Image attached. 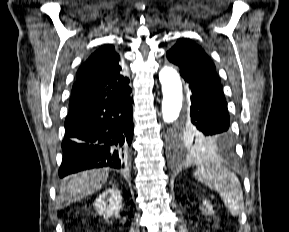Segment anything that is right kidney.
I'll list each match as a JSON object with an SVG mask.
<instances>
[{"label": "right kidney", "mask_w": 289, "mask_h": 232, "mask_svg": "<svg viewBox=\"0 0 289 232\" xmlns=\"http://www.w3.org/2000/svg\"><path fill=\"white\" fill-rule=\"evenodd\" d=\"M121 201V192L117 188H109L96 198L94 206L99 215L108 219L119 214Z\"/></svg>", "instance_id": "right-kidney-1"}]
</instances>
